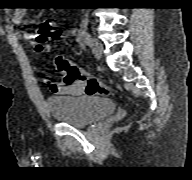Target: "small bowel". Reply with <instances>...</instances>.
I'll list each match as a JSON object with an SVG mask.
<instances>
[{
	"label": "small bowel",
	"mask_w": 192,
	"mask_h": 180,
	"mask_svg": "<svg viewBox=\"0 0 192 180\" xmlns=\"http://www.w3.org/2000/svg\"><path fill=\"white\" fill-rule=\"evenodd\" d=\"M12 21L16 25H21L24 22V12L23 10H17L14 12ZM75 33V30H72V34ZM22 37L24 39H31L32 34L31 33H24L22 34ZM50 90L53 94L56 95H81L84 91L82 87L77 85H67L64 82H52L49 83Z\"/></svg>",
	"instance_id": "small-bowel-1"
}]
</instances>
